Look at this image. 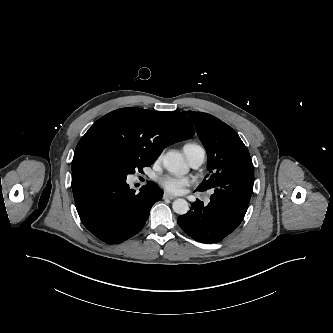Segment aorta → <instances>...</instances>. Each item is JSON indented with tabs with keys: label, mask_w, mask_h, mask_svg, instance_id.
<instances>
[{
	"label": "aorta",
	"mask_w": 333,
	"mask_h": 333,
	"mask_svg": "<svg viewBox=\"0 0 333 333\" xmlns=\"http://www.w3.org/2000/svg\"><path fill=\"white\" fill-rule=\"evenodd\" d=\"M163 165L167 171L176 175H185L188 172L184 158L179 152L170 151L163 158ZM172 209L179 215H184L189 211L188 202L185 199H176L172 203Z\"/></svg>",
	"instance_id": "1"
}]
</instances>
